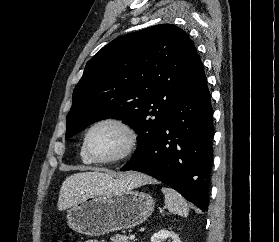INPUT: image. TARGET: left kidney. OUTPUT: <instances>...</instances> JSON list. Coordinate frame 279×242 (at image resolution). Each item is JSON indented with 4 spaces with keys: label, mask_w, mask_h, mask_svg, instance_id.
<instances>
[{
    "label": "left kidney",
    "mask_w": 279,
    "mask_h": 242,
    "mask_svg": "<svg viewBox=\"0 0 279 242\" xmlns=\"http://www.w3.org/2000/svg\"><path fill=\"white\" fill-rule=\"evenodd\" d=\"M166 239H172V242H181L178 234L173 231L162 229L154 233L151 237V242H163Z\"/></svg>",
    "instance_id": "5707ae66"
}]
</instances>
